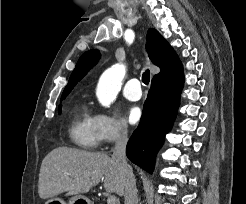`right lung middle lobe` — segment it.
I'll list each match as a JSON object with an SVG mask.
<instances>
[{"instance_id": "right-lung-middle-lobe-1", "label": "right lung middle lobe", "mask_w": 246, "mask_h": 204, "mask_svg": "<svg viewBox=\"0 0 246 204\" xmlns=\"http://www.w3.org/2000/svg\"><path fill=\"white\" fill-rule=\"evenodd\" d=\"M64 98H65V96L61 97V100L64 99ZM59 111H60V108H59Z\"/></svg>"}]
</instances>
